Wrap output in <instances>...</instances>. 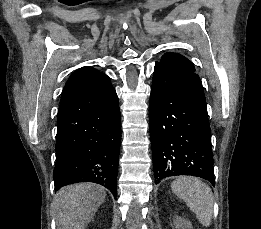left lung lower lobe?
Returning a JSON list of instances; mask_svg holds the SVG:
<instances>
[{
  "mask_svg": "<svg viewBox=\"0 0 261 229\" xmlns=\"http://www.w3.org/2000/svg\"><path fill=\"white\" fill-rule=\"evenodd\" d=\"M154 177L191 175L215 186L203 87L194 71L156 63L149 105Z\"/></svg>",
  "mask_w": 261,
  "mask_h": 229,
  "instance_id": "left-lung-lower-lobe-1",
  "label": "left lung lower lobe"
}]
</instances>
